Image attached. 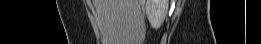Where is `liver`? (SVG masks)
Listing matches in <instances>:
<instances>
[{
    "mask_svg": "<svg viewBox=\"0 0 261 44\" xmlns=\"http://www.w3.org/2000/svg\"><path fill=\"white\" fill-rule=\"evenodd\" d=\"M102 19L103 44L142 42L144 23L139 0H94Z\"/></svg>",
    "mask_w": 261,
    "mask_h": 44,
    "instance_id": "1",
    "label": "liver"
}]
</instances>
